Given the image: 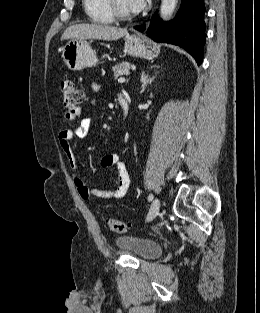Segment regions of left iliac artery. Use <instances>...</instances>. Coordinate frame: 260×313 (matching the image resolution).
<instances>
[{
	"instance_id": "obj_1",
	"label": "left iliac artery",
	"mask_w": 260,
	"mask_h": 313,
	"mask_svg": "<svg viewBox=\"0 0 260 313\" xmlns=\"http://www.w3.org/2000/svg\"><path fill=\"white\" fill-rule=\"evenodd\" d=\"M152 199H153V194H149L148 201H152Z\"/></svg>"
}]
</instances>
